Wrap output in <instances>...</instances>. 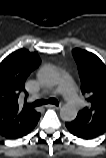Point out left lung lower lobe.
I'll use <instances>...</instances> for the list:
<instances>
[{"instance_id":"obj_1","label":"left lung lower lobe","mask_w":106,"mask_h":158,"mask_svg":"<svg viewBox=\"0 0 106 158\" xmlns=\"http://www.w3.org/2000/svg\"><path fill=\"white\" fill-rule=\"evenodd\" d=\"M67 129L75 136L80 137V138H84V139H88L86 137H84L83 135H81L75 128H73L69 122L65 123Z\"/></svg>"}]
</instances>
